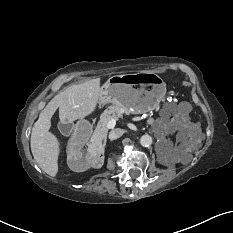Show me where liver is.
<instances>
[{"mask_svg":"<svg viewBox=\"0 0 233 233\" xmlns=\"http://www.w3.org/2000/svg\"><path fill=\"white\" fill-rule=\"evenodd\" d=\"M101 94V79H92L59 92L40 112L32 128L30 147L35 162L45 173L52 177L58 173L60 142L49 131L51 118L56 110L59 108V117L63 123L71 124L77 119L83 120L96 110Z\"/></svg>","mask_w":233,"mask_h":233,"instance_id":"6515ba94","label":"liver"}]
</instances>
